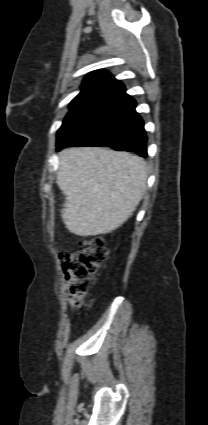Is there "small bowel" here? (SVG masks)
Instances as JSON below:
<instances>
[{"label":"small bowel","mask_w":208,"mask_h":425,"mask_svg":"<svg viewBox=\"0 0 208 425\" xmlns=\"http://www.w3.org/2000/svg\"><path fill=\"white\" fill-rule=\"evenodd\" d=\"M69 302H73V300L69 299ZM76 305H79V302H76Z\"/></svg>","instance_id":"1"}]
</instances>
